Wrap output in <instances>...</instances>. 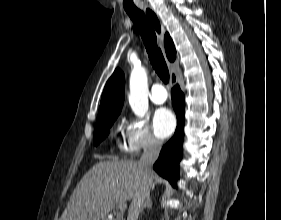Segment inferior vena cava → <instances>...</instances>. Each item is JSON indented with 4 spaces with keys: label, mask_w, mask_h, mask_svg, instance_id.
Segmentation results:
<instances>
[{
    "label": "inferior vena cava",
    "mask_w": 281,
    "mask_h": 220,
    "mask_svg": "<svg viewBox=\"0 0 281 220\" xmlns=\"http://www.w3.org/2000/svg\"><path fill=\"white\" fill-rule=\"evenodd\" d=\"M161 147L162 143L160 141L151 139L138 162L139 166L143 170V179L132 198V202L128 210L127 220H138L139 213L141 212V209L149 195L153 177L152 166L160 153Z\"/></svg>",
    "instance_id": "1"
}]
</instances>
